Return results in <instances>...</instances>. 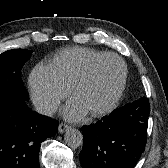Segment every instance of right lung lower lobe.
Listing matches in <instances>:
<instances>
[{
    "mask_svg": "<svg viewBox=\"0 0 168 168\" xmlns=\"http://www.w3.org/2000/svg\"><path fill=\"white\" fill-rule=\"evenodd\" d=\"M58 122L28 108L26 101L0 96V168H39L41 143Z\"/></svg>",
    "mask_w": 168,
    "mask_h": 168,
    "instance_id": "98d812e1",
    "label": "right lung lower lobe"
}]
</instances>
